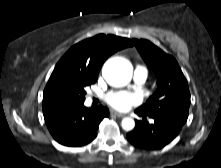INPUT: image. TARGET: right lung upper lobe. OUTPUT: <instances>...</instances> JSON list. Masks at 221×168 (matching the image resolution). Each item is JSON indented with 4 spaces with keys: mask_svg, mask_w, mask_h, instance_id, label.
<instances>
[{
    "mask_svg": "<svg viewBox=\"0 0 221 168\" xmlns=\"http://www.w3.org/2000/svg\"><path fill=\"white\" fill-rule=\"evenodd\" d=\"M128 46H132V42L127 38L96 35L72 46L60 59L53 73L62 67H76L98 74L101 66L111 54ZM52 100L45 87L43 103Z\"/></svg>",
    "mask_w": 221,
    "mask_h": 168,
    "instance_id": "cb5924a9",
    "label": "right lung upper lobe"
}]
</instances>
